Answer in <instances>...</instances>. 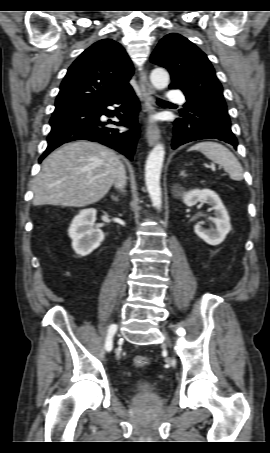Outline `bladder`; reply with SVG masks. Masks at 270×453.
I'll list each match as a JSON object with an SVG mask.
<instances>
[{
    "instance_id": "31cf9c89",
    "label": "bladder",
    "mask_w": 270,
    "mask_h": 453,
    "mask_svg": "<svg viewBox=\"0 0 270 453\" xmlns=\"http://www.w3.org/2000/svg\"><path fill=\"white\" fill-rule=\"evenodd\" d=\"M135 394L143 395V396H156L157 389L155 385L150 382H139L134 388Z\"/></svg>"
}]
</instances>
